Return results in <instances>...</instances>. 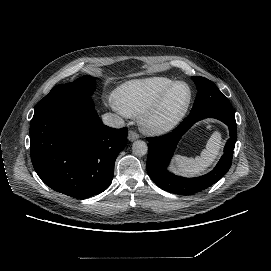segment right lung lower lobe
<instances>
[{"mask_svg":"<svg viewBox=\"0 0 271 271\" xmlns=\"http://www.w3.org/2000/svg\"><path fill=\"white\" fill-rule=\"evenodd\" d=\"M127 134V128L103 125L92 101L60 102L35 111L30 123L31 160L50 188L85 199L111 184Z\"/></svg>","mask_w":271,"mask_h":271,"instance_id":"right-lung-lower-lobe-1","label":"right lung lower lobe"}]
</instances>
